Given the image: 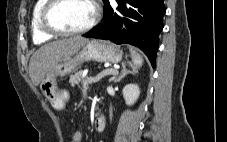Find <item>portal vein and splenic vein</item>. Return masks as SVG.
<instances>
[{
	"mask_svg": "<svg viewBox=\"0 0 227 142\" xmlns=\"http://www.w3.org/2000/svg\"><path fill=\"white\" fill-rule=\"evenodd\" d=\"M110 74H115V70L107 69V70L101 72L100 74L96 75L95 77H89V78H87V82L83 86H86V85L92 84V83H96V82L100 81L103 77L110 75Z\"/></svg>",
	"mask_w": 227,
	"mask_h": 142,
	"instance_id": "obj_1",
	"label": "portal vein and splenic vein"
}]
</instances>
